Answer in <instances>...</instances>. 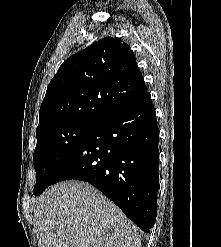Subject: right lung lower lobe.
Segmentation results:
<instances>
[{"instance_id":"98d812e1","label":"right lung lower lobe","mask_w":221,"mask_h":247,"mask_svg":"<svg viewBox=\"0 0 221 247\" xmlns=\"http://www.w3.org/2000/svg\"><path fill=\"white\" fill-rule=\"evenodd\" d=\"M159 131L147 91L101 120L64 162L50 185L89 182L144 232L157 213Z\"/></svg>"}]
</instances>
